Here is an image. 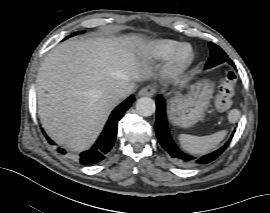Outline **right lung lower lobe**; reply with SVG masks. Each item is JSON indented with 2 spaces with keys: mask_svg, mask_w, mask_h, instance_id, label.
Returning <instances> with one entry per match:
<instances>
[{
  "mask_svg": "<svg viewBox=\"0 0 270 213\" xmlns=\"http://www.w3.org/2000/svg\"><path fill=\"white\" fill-rule=\"evenodd\" d=\"M134 102V97L130 96L124 102H122L116 109L112 112L104 131L95 143V145L79 155V161L81 164L91 165L100 162L105 158V155L110 151L114 145L118 121L121 119L123 114L128 110L131 104ZM47 140L53 144V141L46 136ZM60 153L65 154L66 151L62 148H58Z\"/></svg>",
  "mask_w": 270,
  "mask_h": 213,
  "instance_id": "1",
  "label": "right lung lower lobe"
}]
</instances>
